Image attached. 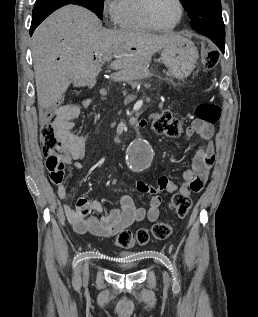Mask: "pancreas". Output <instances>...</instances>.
Here are the masks:
<instances>
[{"label":"pancreas","mask_w":258,"mask_h":317,"mask_svg":"<svg viewBox=\"0 0 258 317\" xmlns=\"http://www.w3.org/2000/svg\"><path fill=\"white\" fill-rule=\"evenodd\" d=\"M118 81H119V82H120V81L122 82L123 80H122V79H121V80L119 79ZM124 81H125V82H127V81H129V82H133V81H134V82H135L136 80H135V79H134V80H133V79H129V80L125 79ZM147 81L149 82L150 80L148 79ZM137 83H138V84H144V83H145V78H144V77H138V78H137ZM137 90L139 91L140 89L138 88Z\"/></svg>","instance_id":"obj_1"}]
</instances>
